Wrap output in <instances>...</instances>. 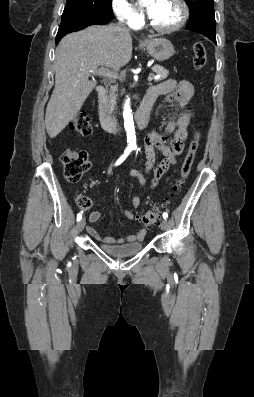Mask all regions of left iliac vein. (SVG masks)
Returning a JSON list of instances; mask_svg holds the SVG:
<instances>
[{"instance_id":"4c4485c4","label":"left iliac vein","mask_w":254,"mask_h":397,"mask_svg":"<svg viewBox=\"0 0 254 397\" xmlns=\"http://www.w3.org/2000/svg\"><path fill=\"white\" fill-rule=\"evenodd\" d=\"M167 226H168L167 221H166L165 219H163V220L161 221V223H160V228H161L162 230H166V229H167Z\"/></svg>"}]
</instances>
